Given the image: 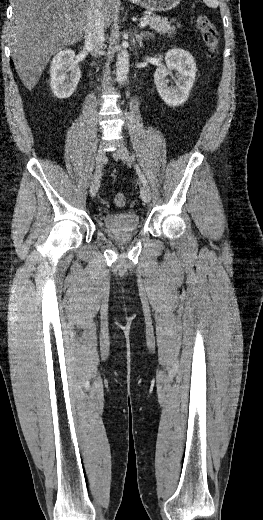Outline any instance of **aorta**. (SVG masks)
I'll use <instances>...</instances> for the list:
<instances>
[{
  "label": "aorta",
  "mask_w": 263,
  "mask_h": 520,
  "mask_svg": "<svg viewBox=\"0 0 263 520\" xmlns=\"http://www.w3.org/2000/svg\"><path fill=\"white\" fill-rule=\"evenodd\" d=\"M129 73V53L121 49L116 61V80L120 86L124 85Z\"/></svg>",
  "instance_id": "762f6f07"
}]
</instances>
